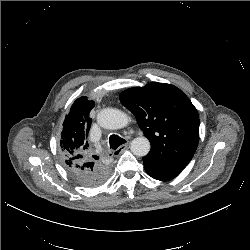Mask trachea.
<instances>
[{
    "label": "trachea",
    "mask_w": 250,
    "mask_h": 250,
    "mask_svg": "<svg viewBox=\"0 0 250 250\" xmlns=\"http://www.w3.org/2000/svg\"><path fill=\"white\" fill-rule=\"evenodd\" d=\"M109 143H110V148L116 150L119 146L126 143V140L118 135L113 134L110 136Z\"/></svg>",
    "instance_id": "obj_1"
}]
</instances>
